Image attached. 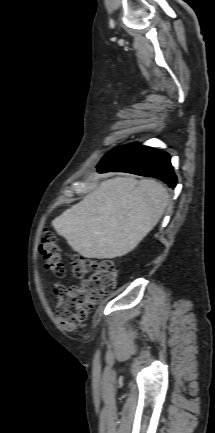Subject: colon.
<instances>
[{"label":"colon","instance_id":"1","mask_svg":"<svg viewBox=\"0 0 215 433\" xmlns=\"http://www.w3.org/2000/svg\"><path fill=\"white\" fill-rule=\"evenodd\" d=\"M39 251L48 270L58 277L66 275L61 247L52 231L43 230ZM70 273L73 277L82 279L80 285L56 289V316L59 325L66 330H73L86 322L94 306L114 289L118 269L107 259L74 256L71 259Z\"/></svg>","mask_w":215,"mask_h":433}]
</instances>
